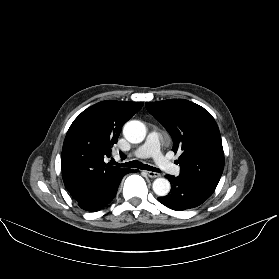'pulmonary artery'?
I'll return each mask as SVG.
<instances>
[{
    "instance_id": "obj_1",
    "label": "pulmonary artery",
    "mask_w": 279,
    "mask_h": 279,
    "mask_svg": "<svg viewBox=\"0 0 279 279\" xmlns=\"http://www.w3.org/2000/svg\"><path fill=\"white\" fill-rule=\"evenodd\" d=\"M137 157H153L156 163L166 172L177 175L179 168L169 161L161 152L160 134L156 131L149 133L146 142L133 153Z\"/></svg>"
}]
</instances>
